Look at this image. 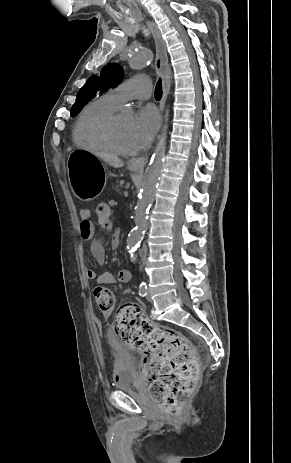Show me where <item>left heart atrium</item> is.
<instances>
[{
	"mask_svg": "<svg viewBox=\"0 0 291 463\" xmlns=\"http://www.w3.org/2000/svg\"><path fill=\"white\" fill-rule=\"evenodd\" d=\"M159 125L160 117L154 107L146 106L137 112L131 129L139 147L146 146L152 140Z\"/></svg>",
	"mask_w": 291,
	"mask_h": 463,
	"instance_id": "left-heart-atrium-1",
	"label": "left heart atrium"
}]
</instances>
